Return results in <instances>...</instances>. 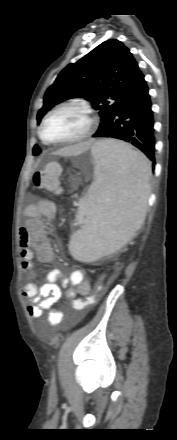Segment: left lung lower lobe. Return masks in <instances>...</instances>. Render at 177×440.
Instances as JSON below:
<instances>
[{
    "instance_id": "1",
    "label": "left lung lower lobe",
    "mask_w": 177,
    "mask_h": 440,
    "mask_svg": "<svg viewBox=\"0 0 177 440\" xmlns=\"http://www.w3.org/2000/svg\"><path fill=\"white\" fill-rule=\"evenodd\" d=\"M151 107L148 86L142 74L118 108L92 137L126 141L140 149L154 166L155 137Z\"/></svg>"
}]
</instances>
